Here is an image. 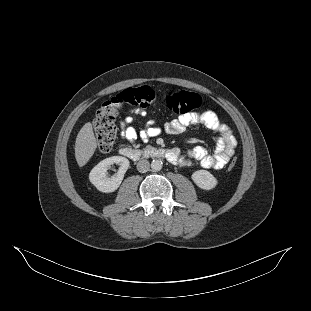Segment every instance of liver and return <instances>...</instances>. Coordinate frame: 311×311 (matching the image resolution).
<instances>
[{"mask_svg":"<svg viewBox=\"0 0 311 311\" xmlns=\"http://www.w3.org/2000/svg\"><path fill=\"white\" fill-rule=\"evenodd\" d=\"M96 149V140L91 123L85 124L76 138L75 156L80 166L86 164Z\"/></svg>","mask_w":311,"mask_h":311,"instance_id":"obj_1","label":"liver"}]
</instances>
